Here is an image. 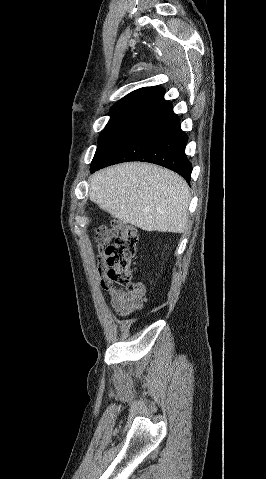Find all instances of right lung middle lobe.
<instances>
[{
	"instance_id": "dd1d6c3e",
	"label": "right lung middle lobe",
	"mask_w": 266,
	"mask_h": 479,
	"mask_svg": "<svg viewBox=\"0 0 266 479\" xmlns=\"http://www.w3.org/2000/svg\"><path fill=\"white\" fill-rule=\"evenodd\" d=\"M137 113L133 112H120V113H111L110 120L107 123L105 129L99 137V145L97 147L95 156L92 163L106 147V145L111 141V139L136 115Z\"/></svg>"
}]
</instances>
